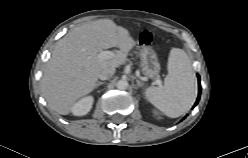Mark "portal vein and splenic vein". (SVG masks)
<instances>
[{
    "mask_svg": "<svg viewBox=\"0 0 248 158\" xmlns=\"http://www.w3.org/2000/svg\"><path fill=\"white\" fill-rule=\"evenodd\" d=\"M114 56V53L111 52V51H101L99 54H98V57L101 58V59H110ZM156 83L158 85H161V81L158 79L156 81Z\"/></svg>",
    "mask_w": 248,
    "mask_h": 158,
    "instance_id": "18ae733b",
    "label": "portal vein and splenic vein"
}]
</instances>
